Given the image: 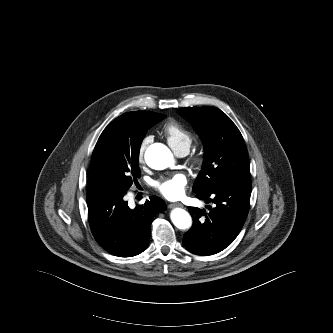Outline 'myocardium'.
I'll return each instance as SVG.
<instances>
[{
  "instance_id": "myocardium-1",
  "label": "myocardium",
  "mask_w": 333,
  "mask_h": 333,
  "mask_svg": "<svg viewBox=\"0 0 333 333\" xmlns=\"http://www.w3.org/2000/svg\"><path fill=\"white\" fill-rule=\"evenodd\" d=\"M203 162V158L201 155H196L193 159H192V163L194 166H199L201 163Z\"/></svg>"
}]
</instances>
